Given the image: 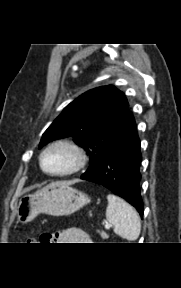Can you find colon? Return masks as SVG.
Returning <instances> with one entry per match:
<instances>
[{"label": "colon", "mask_w": 181, "mask_h": 288, "mask_svg": "<svg viewBox=\"0 0 181 288\" xmlns=\"http://www.w3.org/2000/svg\"><path fill=\"white\" fill-rule=\"evenodd\" d=\"M44 239H45V237L43 236V237H41V241L43 242L44 241ZM31 241H33V239H31Z\"/></svg>", "instance_id": "1"}]
</instances>
